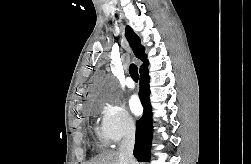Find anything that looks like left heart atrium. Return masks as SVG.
<instances>
[{
	"instance_id": "1",
	"label": "left heart atrium",
	"mask_w": 251,
	"mask_h": 164,
	"mask_svg": "<svg viewBox=\"0 0 251 164\" xmlns=\"http://www.w3.org/2000/svg\"><path fill=\"white\" fill-rule=\"evenodd\" d=\"M129 107L135 115L140 114L142 107L137 96L134 95L129 99Z\"/></svg>"
}]
</instances>
